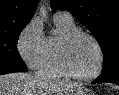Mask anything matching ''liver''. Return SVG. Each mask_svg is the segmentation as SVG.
Here are the masks:
<instances>
[{"label":"liver","mask_w":119,"mask_h":95,"mask_svg":"<svg viewBox=\"0 0 119 95\" xmlns=\"http://www.w3.org/2000/svg\"><path fill=\"white\" fill-rule=\"evenodd\" d=\"M76 83L22 72L0 75V95H66Z\"/></svg>","instance_id":"6515ba94"}]
</instances>
